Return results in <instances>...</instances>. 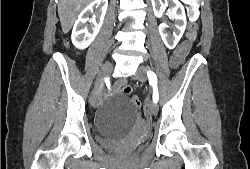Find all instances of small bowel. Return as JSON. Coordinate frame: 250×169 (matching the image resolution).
Instances as JSON below:
<instances>
[{
  "label": "small bowel",
  "instance_id": "1",
  "mask_svg": "<svg viewBox=\"0 0 250 169\" xmlns=\"http://www.w3.org/2000/svg\"><path fill=\"white\" fill-rule=\"evenodd\" d=\"M189 50V44L184 43L181 47H179L176 52L175 56L178 58V61L181 62L182 59L186 56L187 52ZM125 85V81L122 79L117 80L116 85L113 88V92H116L120 87Z\"/></svg>",
  "mask_w": 250,
  "mask_h": 169
}]
</instances>
